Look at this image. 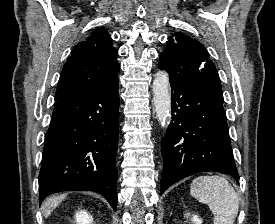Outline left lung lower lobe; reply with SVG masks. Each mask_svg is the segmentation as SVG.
<instances>
[{
    "label": "left lung lower lobe",
    "instance_id": "1",
    "mask_svg": "<svg viewBox=\"0 0 275 224\" xmlns=\"http://www.w3.org/2000/svg\"><path fill=\"white\" fill-rule=\"evenodd\" d=\"M170 84L172 121L161 144L160 194L199 172L227 173L239 183L223 97L194 83Z\"/></svg>",
    "mask_w": 275,
    "mask_h": 224
}]
</instances>
